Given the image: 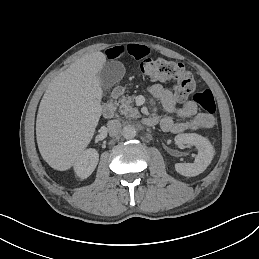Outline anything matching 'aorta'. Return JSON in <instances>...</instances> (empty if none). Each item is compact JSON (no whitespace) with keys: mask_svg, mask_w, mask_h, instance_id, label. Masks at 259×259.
Instances as JSON below:
<instances>
[{"mask_svg":"<svg viewBox=\"0 0 259 259\" xmlns=\"http://www.w3.org/2000/svg\"><path fill=\"white\" fill-rule=\"evenodd\" d=\"M122 135L126 139H133L136 136V129L132 125H126L122 130Z\"/></svg>","mask_w":259,"mask_h":259,"instance_id":"obj_1","label":"aorta"}]
</instances>
